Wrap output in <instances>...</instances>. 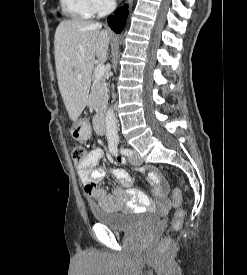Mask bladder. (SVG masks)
<instances>
[{"mask_svg":"<svg viewBox=\"0 0 247 275\" xmlns=\"http://www.w3.org/2000/svg\"><path fill=\"white\" fill-rule=\"evenodd\" d=\"M91 213L97 224L107 226L117 232H130L138 226H153L162 221L160 215L145 213L139 220L133 213H113L96 206L91 207Z\"/></svg>","mask_w":247,"mask_h":275,"instance_id":"obj_1","label":"bladder"}]
</instances>
